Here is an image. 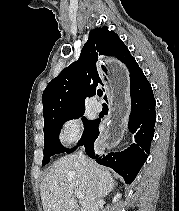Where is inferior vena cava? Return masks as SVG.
<instances>
[{
    "label": "inferior vena cava",
    "mask_w": 179,
    "mask_h": 211,
    "mask_svg": "<svg viewBox=\"0 0 179 211\" xmlns=\"http://www.w3.org/2000/svg\"><path fill=\"white\" fill-rule=\"evenodd\" d=\"M78 158H79V160H80V162H81V164L85 167V168H87V169H89L90 168V161L86 158V156L83 154V150L81 149L79 152H78Z\"/></svg>",
    "instance_id": "602c4592"
}]
</instances>
